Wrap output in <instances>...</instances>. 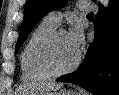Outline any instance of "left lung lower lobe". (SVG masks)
<instances>
[{
  "label": "left lung lower lobe",
  "mask_w": 119,
  "mask_h": 95,
  "mask_svg": "<svg viewBox=\"0 0 119 95\" xmlns=\"http://www.w3.org/2000/svg\"><path fill=\"white\" fill-rule=\"evenodd\" d=\"M95 38L78 70L57 81L72 82L96 95H119V0L108 10L99 5Z\"/></svg>",
  "instance_id": "obj_1"
}]
</instances>
